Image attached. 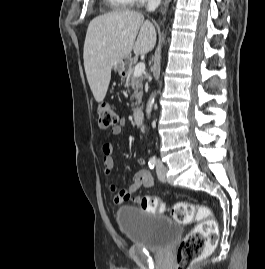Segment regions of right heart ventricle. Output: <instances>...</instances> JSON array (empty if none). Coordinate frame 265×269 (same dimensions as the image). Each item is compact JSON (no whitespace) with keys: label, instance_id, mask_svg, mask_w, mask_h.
<instances>
[{"label":"right heart ventricle","instance_id":"obj_1","mask_svg":"<svg viewBox=\"0 0 265 269\" xmlns=\"http://www.w3.org/2000/svg\"><path fill=\"white\" fill-rule=\"evenodd\" d=\"M113 9H127L133 4V0H106Z\"/></svg>","mask_w":265,"mask_h":269}]
</instances>
